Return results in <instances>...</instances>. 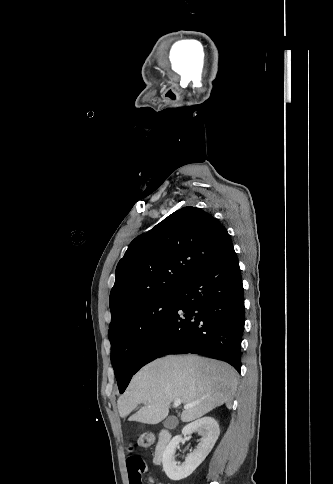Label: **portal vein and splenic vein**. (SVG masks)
I'll use <instances>...</instances> for the list:
<instances>
[{"label":"portal vein and splenic vein","mask_w":333,"mask_h":484,"mask_svg":"<svg viewBox=\"0 0 333 484\" xmlns=\"http://www.w3.org/2000/svg\"><path fill=\"white\" fill-rule=\"evenodd\" d=\"M181 403H182L181 399H176L173 403V406L178 407ZM191 406H192L191 404H186L184 405V408L187 409V408H190Z\"/></svg>","instance_id":"obj_1"}]
</instances>
